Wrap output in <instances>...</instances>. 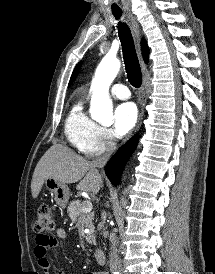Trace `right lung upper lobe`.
Listing matches in <instances>:
<instances>
[{"mask_svg":"<svg viewBox=\"0 0 215 274\" xmlns=\"http://www.w3.org/2000/svg\"><path fill=\"white\" fill-rule=\"evenodd\" d=\"M141 47H142V54H143L144 61L147 63L148 62L149 50H148L147 44H146V42L144 40H142V42H141ZM80 66H81V63H79L78 65H76V67H75V69H74V71L72 73L69 85L72 83V81L76 77V75H77V73L79 71Z\"/></svg>","mask_w":215,"mask_h":274,"instance_id":"1","label":"right lung upper lobe"}]
</instances>
